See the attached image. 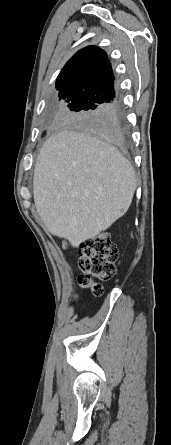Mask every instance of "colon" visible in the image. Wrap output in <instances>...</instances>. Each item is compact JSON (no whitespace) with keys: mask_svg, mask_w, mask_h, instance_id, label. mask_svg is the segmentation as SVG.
Segmentation results:
<instances>
[{"mask_svg":"<svg viewBox=\"0 0 171 445\" xmlns=\"http://www.w3.org/2000/svg\"><path fill=\"white\" fill-rule=\"evenodd\" d=\"M118 248L105 233L95 239L84 241L79 248V285L100 296L103 289L95 279L107 280L114 273V261Z\"/></svg>","mask_w":171,"mask_h":445,"instance_id":"5ec220e1","label":"colon"}]
</instances>
